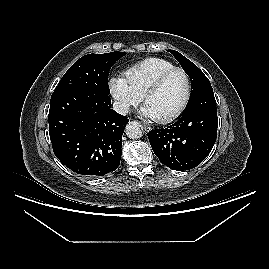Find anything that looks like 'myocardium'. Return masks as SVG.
<instances>
[{"instance_id": "f54148a6", "label": "myocardium", "mask_w": 269, "mask_h": 269, "mask_svg": "<svg viewBox=\"0 0 269 269\" xmlns=\"http://www.w3.org/2000/svg\"><path fill=\"white\" fill-rule=\"evenodd\" d=\"M180 71L184 74L185 78H186V82H187V90H186V94L184 97V100L182 102V104L171 114L164 116V117H160V118H153L157 123L160 124H166L169 123L171 121H173L174 119H176L177 117H179L187 108L190 99H191V95H192V80L191 77L189 75V73L182 67H173L169 70L164 71L163 73H161L159 76H157L143 91V93L141 94V101L143 104H145L146 99L153 94L154 92H156L161 85L163 84V82L174 72Z\"/></svg>"}]
</instances>
